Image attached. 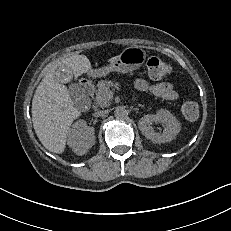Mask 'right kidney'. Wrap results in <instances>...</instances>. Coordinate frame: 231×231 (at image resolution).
Returning <instances> with one entry per match:
<instances>
[{"instance_id": "ca27d5eb", "label": "right kidney", "mask_w": 231, "mask_h": 231, "mask_svg": "<svg viewBox=\"0 0 231 231\" xmlns=\"http://www.w3.org/2000/svg\"><path fill=\"white\" fill-rule=\"evenodd\" d=\"M94 141V128L88 126L84 120H79L70 129L67 144L75 154L84 155L94 145Z\"/></svg>"}]
</instances>
